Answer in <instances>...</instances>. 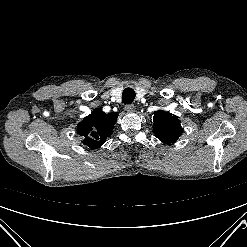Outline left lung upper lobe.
I'll list each match as a JSON object with an SVG mask.
<instances>
[{
  "mask_svg": "<svg viewBox=\"0 0 247 247\" xmlns=\"http://www.w3.org/2000/svg\"><path fill=\"white\" fill-rule=\"evenodd\" d=\"M153 120V132L165 144L174 143L183 132L180 121L175 115L164 111H156Z\"/></svg>",
  "mask_w": 247,
  "mask_h": 247,
  "instance_id": "1",
  "label": "left lung upper lobe"
}]
</instances>
